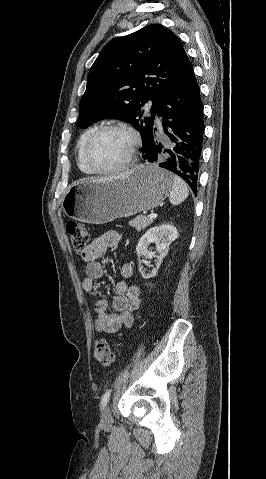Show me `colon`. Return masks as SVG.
<instances>
[{"mask_svg": "<svg viewBox=\"0 0 266 479\" xmlns=\"http://www.w3.org/2000/svg\"><path fill=\"white\" fill-rule=\"evenodd\" d=\"M66 232L74 251L82 254L88 246L90 237L88 230L74 221H69L66 224ZM94 356L103 366H111L115 359L108 342L102 338L95 342Z\"/></svg>", "mask_w": 266, "mask_h": 479, "instance_id": "5ec220e1", "label": "colon"}]
</instances>
